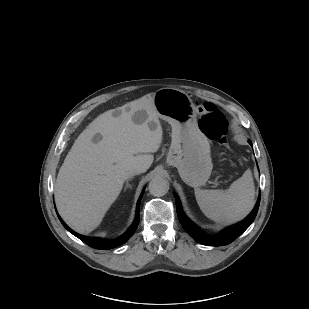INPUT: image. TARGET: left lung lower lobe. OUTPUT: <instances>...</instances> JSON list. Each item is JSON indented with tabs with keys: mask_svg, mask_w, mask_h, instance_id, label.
<instances>
[{
	"mask_svg": "<svg viewBox=\"0 0 309 309\" xmlns=\"http://www.w3.org/2000/svg\"><path fill=\"white\" fill-rule=\"evenodd\" d=\"M249 144L252 146L251 141ZM176 199V209L178 218L184 227V229L198 242L208 246H224L232 241H234L238 236H240L254 221L256 214L258 212L259 204H260V194L257 200V203L252 210V212L241 222L230 226L219 233L216 237L209 238L202 234L200 229L192 223L183 213L180 200L177 195H175Z\"/></svg>",
	"mask_w": 309,
	"mask_h": 309,
	"instance_id": "left-lung-lower-lobe-1",
	"label": "left lung lower lobe"
}]
</instances>
